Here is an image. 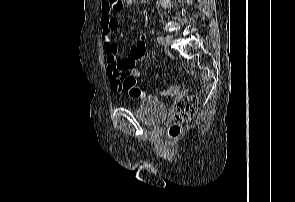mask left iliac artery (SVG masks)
<instances>
[{
	"mask_svg": "<svg viewBox=\"0 0 295 202\" xmlns=\"http://www.w3.org/2000/svg\"><path fill=\"white\" fill-rule=\"evenodd\" d=\"M157 41H158V43H163L164 42V38L162 36H158L157 37Z\"/></svg>",
	"mask_w": 295,
	"mask_h": 202,
	"instance_id": "44dca946",
	"label": "left iliac artery"
}]
</instances>
